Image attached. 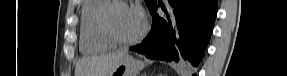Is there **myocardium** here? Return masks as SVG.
Masks as SVG:
<instances>
[{
  "label": "myocardium",
  "mask_w": 287,
  "mask_h": 76,
  "mask_svg": "<svg viewBox=\"0 0 287 76\" xmlns=\"http://www.w3.org/2000/svg\"><path fill=\"white\" fill-rule=\"evenodd\" d=\"M117 7H130V5L126 1L121 0H113L109 2V4L102 10L98 20V27L101 35L112 45H129L139 42L147 33V23L143 22L142 29L137 35L130 38L121 37L117 34L111 24L112 14Z\"/></svg>",
  "instance_id": "myocardium-1"
}]
</instances>
